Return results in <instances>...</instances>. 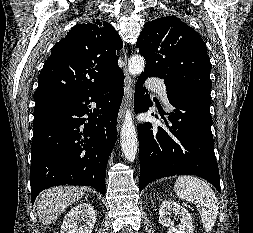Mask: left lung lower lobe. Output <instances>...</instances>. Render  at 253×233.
I'll list each match as a JSON object with an SVG mask.
<instances>
[{
  "mask_svg": "<svg viewBox=\"0 0 253 233\" xmlns=\"http://www.w3.org/2000/svg\"><path fill=\"white\" fill-rule=\"evenodd\" d=\"M149 76L141 74L135 85L134 110L146 112L153 105L143 86ZM173 107L168 116L163 113L166 126L147 122L138 130L140 179L142 190L150 182L173 175H196L209 181L219 192V169L214 153L211 133V97L204 94H188L169 99ZM156 118H159L155 115Z\"/></svg>",
  "mask_w": 253,
  "mask_h": 233,
  "instance_id": "obj_1",
  "label": "left lung lower lobe"
}]
</instances>
